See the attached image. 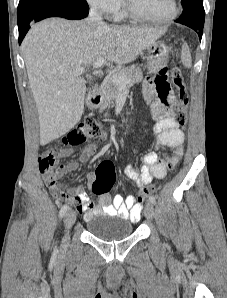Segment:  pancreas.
Instances as JSON below:
<instances>
[{"instance_id": "1", "label": "pancreas", "mask_w": 227, "mask_h": 298, "mask_svg": "<svg viewBox=\"0 0 227 298\" xmlns=\"http://www.w3.org/2000/svg\"><path fill=\"white\" fill-rule=\"evenodd\" d=\"M119 74L124 75L129 82L125 84L126 88L133 86L136 83L141 82L143 78V73L138 65H131L129 67H124L118 70ZM121 85L114 83L111 78L104 81L101 86V95L103 97L102 103L100 105V110L109 108L111 104L117 99L120 93Z\"/></svg>"}]
</instances>
